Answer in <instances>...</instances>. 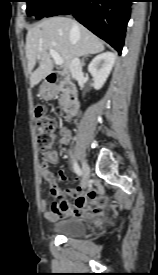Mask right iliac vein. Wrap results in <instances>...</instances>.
I'll return each instance as SVG.
<instances>
[{"label": "right iliac vein", "instance_id": "obj_1", "mask_svg": "<svg viewBox=\"0 0 158 275\" xmlns=\"http://www.w3.org/2000/svg\"><path fill=\"white\" fill-rule=\"evenodd\" d=\"M83 184L87 185L90 177V167L86 161H82Z\"/></svg>", "mask_w": 158, "mask_h": 275}]
</instances>
